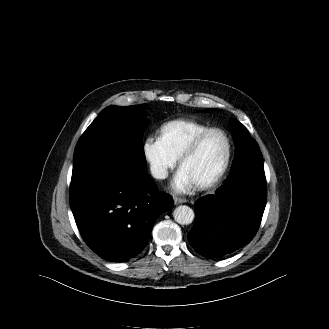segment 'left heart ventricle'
<instances>
[{
  "label": "left heart ventricle",
  "mask_w": 329,
  "mask_h": 329,
  "mask_svg": "<svg viewBox=\"0 0 329 329\" xmlns=\"http://www.w3.org/2000/svg\"><path fill=\"white\" fill-rule=\"evenodd\" d=\"M226 154V140L220 133H212L203 139L196 153L187 159L181 169L196 183H202L221 167Z\"/></svg>",
  "instance_id": "obj_1"
}]
</instances>
